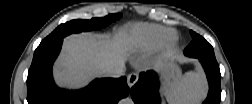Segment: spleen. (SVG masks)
Wrapping results in <instances>:
<instances>
[{
    "label": "spleen",
    "instance_id": "spleen-1",
    "mask_svg": "<svg viewBox=\"0 0 252 104\" xmlns=\"http://www.w3.org/2000/svg\"><path fill=\"white\" fill-rule=\"evenodd\" d=\"M206 89L202 77L197 72L187 73L180 86L173 91L174 103H197L205 96Z\"/></svg>",
    "mask_w": 252,
    "mask_h": 104
}]
</instances>
